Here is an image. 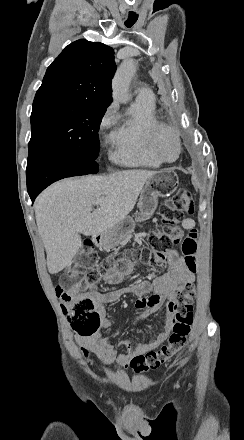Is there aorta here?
I'll return each instance as SVG.
<instances>
[{
    "instance_id": "obj_1",
    "label": "aorta",
    "mask_w": 244,
    "mask_h": 440,
    "mask_svg": "<svg viewBox=\"0 0 244 440\" xmlns=\"http://www.w3.org/2000/svg\"><path fill=\"white\" fill-rule=\"evenodd\" d=\"M135 72L136 68L132 60H125L119 66L112 81V95L115 101L126 103L129 100L128 88Z\"/></svg>"
}]
</instances>
